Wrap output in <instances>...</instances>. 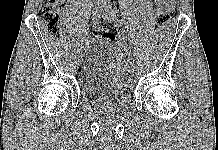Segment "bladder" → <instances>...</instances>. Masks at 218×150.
<instances>
[{
    "instance_id": "obj_1",
    "label": "bladder",
    "mask_w": 218,
    "mask_h": 150,
    "mask_svg": "<svg viewBox=\"0 0 218 150\" xmlns=\"http://www.w3.org/2000/svg\"><path fill=\"white\" fill-rule=\"evenodd\" d=\"M79 85L85 96L99 104L123 107L128 102L124 74L115 62L112 48L102 41L88 46Z\"/></svg>"
}]
</instances>
